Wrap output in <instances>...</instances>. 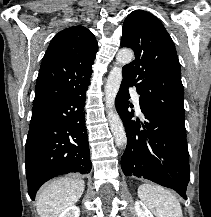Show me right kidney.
I'll return each mask as SVG.
<instances>
[{
    "mask_svg": "<svg viewBox=\"0 0 211 217\" xmlns=\"http://www.w3.org/2000/svg\"><path fill=\"white\" fill-rule=\"evenodd\" d=\"M80 209L77 206H70L65 209L58 217H79Z\"/></svg>",
    "mask_w": 211,
    "mask_h": 217,
    "instance_id": "obj_1",
    "label": "right kidney"
}]
</instances>
